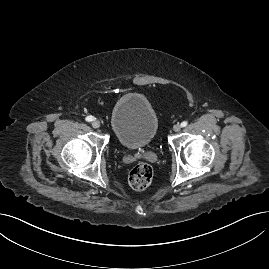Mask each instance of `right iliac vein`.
Instances as JSON below:
<instances>
[{
  "label": "right iliac vein",
  "instance_id": "obj_1",
  "mask_svg": "<svg viewBox=\"0 0 269 269\" xmlns=\"http://www.w3.org/2000/svg\"><path fill=\"white\" fill-rule=\"evenodd\" d=\"M92 126H93L94 128H99V127H100V122L97 121V120H95V121L92 122Z\"/></svg>",
  "mask_w": 269,
  "mask_h": 269
}]
</instances>
